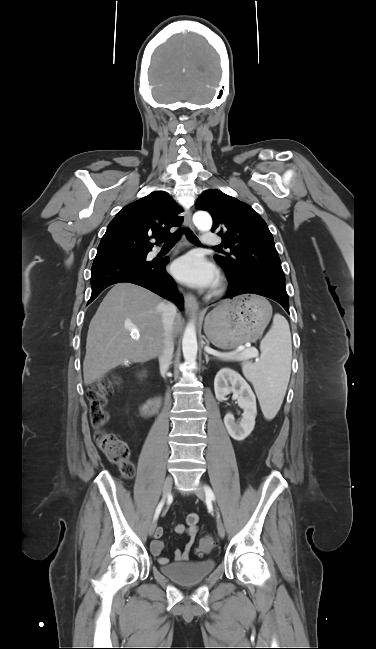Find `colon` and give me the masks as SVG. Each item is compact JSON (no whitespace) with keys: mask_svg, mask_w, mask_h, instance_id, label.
<instances>
[{"mask_svg":"<svg viewBox=\"0 0 376 649\" xmlns=\"http://www.w3.org/2000/svg\"><path fill=\"white\" fill-rule=\"evenodd\" d=\"M117 381L113 378H103L86 391V398L90 405V421L95 429L94 440L100 450L107 458L119 466L120 472L126 478H132L135 474V467L129 460V448L127 444L116 434L104 430L108 422V414L105 410L106 398L113 392ZM197 517H192L194 522ZM215 541L210 536H204L200 539L197 553L203 554L209 552Z\"/></svg>","mask_w":376,"mask_h":649,"instance_id":"colon-1","label":"colon"}]
</instances>
